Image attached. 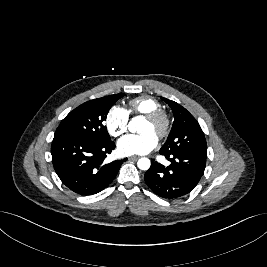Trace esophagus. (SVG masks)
Listing matches in <instances>:
<instances>
[{
    "label": "esophagus",
    "mask_w": 267,
    "mask_h": 267,
    "mask_svg": "<svg viewBox=\"0 0 267 267\" xmlns=\"http://www.w3.org/2000/svg\"><path fill=\"white\" fill-rule=\"evenodd\" d=\"M139 158V156H131V157H129V160H131V161H135V160H137Z\"/></svg>",
    "instance_id": "34e87169"
}]
</instances>
